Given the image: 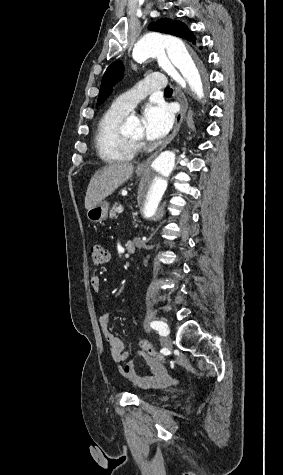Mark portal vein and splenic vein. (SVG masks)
<instances>
[{"instance_id": "18ae733b", "label": "portal vein and splenic vein", "mask_w": 283, "mask_h": 475, "mask_svg": "<svg viewBox=\"0 0 283 475\" xmlns=\"http://www.w3.org/2000/svg\"><path fill=\"white\" fill-rule=\"evenodd\" d=\"M117 210H118V214H121V212H123L122 206H120V208H117Z\"/></svg>"}]
</instances>
